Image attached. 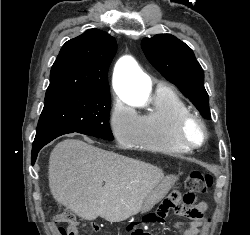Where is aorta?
I'll return each mask as SVG.
<instances>
[{"label":"aorta","instance_id":"obj_1","mask_svg":"<svg viewBox=\"0 0 250 235\" xmlns=\"http://www.w3.org/2000/svg\"><path fill=\"white\" fill-rule=\"evenodd\" d=\"M114 86L118 95L126 102L138 105L147 101L151 89V81L143 74L134 60L122 58L114 73Z\"/></svg>","mask_w":250,"mask_h":235}]
</instances>
